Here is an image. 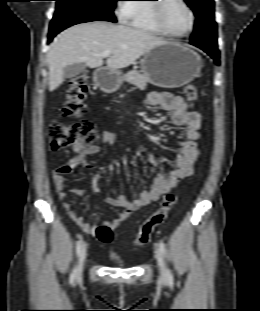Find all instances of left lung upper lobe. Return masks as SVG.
Here are the masks:
<instances>
[{
    "instance_id": "1",
    "label": "left lung upper lobe",
    "mask_w": 260,
    "mask_h": 311,
    "mask_svg": "<svg viewBox=\"0 0 260 311\" xmlns=\"http://www.w3.org/2000/svg\"><path fill=\"white\" fill-rule=\"evenodd\" d=\"M196 16L192 43L217 47V26L214 20L213 0H185Z\"/></svg>"
}]
</instances>
